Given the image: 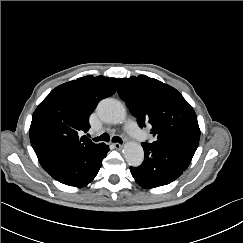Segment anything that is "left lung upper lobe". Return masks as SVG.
Returning <instances> with one entry per match:
<instances>
[{"mask_svg": "<svg viewBox=\"0 0 243 243\" xmlns=\"http://www.w3.org/2000/svg\"><path fill=\"white\" fill-rule=\"evenodd\" d=\"M118 94L140 127L150 125L154 141L145 144L196 151L200 139L197 116L176 89L140 75L120 78Z\"/></svg>", "mask_w": 243, "mask_h": 243, "instance_id": "1", "label": "left lung upper lobe"}]
</instances>
